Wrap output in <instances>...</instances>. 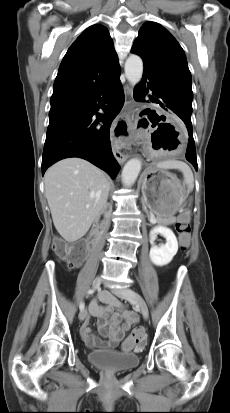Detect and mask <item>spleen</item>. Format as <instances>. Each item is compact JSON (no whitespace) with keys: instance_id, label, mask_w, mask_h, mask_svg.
I'll list each match as a JSON object with an SVG mask.
<instances>
[{"instance_id":"1","label":"spleen","mask_w":230,"mask_h":413,"mask_svg":"<svg viewBox=\"0 0 230 413\" xmlns=\"http://www.w3.org/2000/svg\"><path fill=\"white\" fill-rule=\"evenodd\" d=\"M157 167L160 169L180 170L183 173L184 182L188 187V191L190 192L194 188V177H193L192 170L185 162L178 161V160H166V161L160 162L157 165Z\"/></svg>"}]
</instances>
